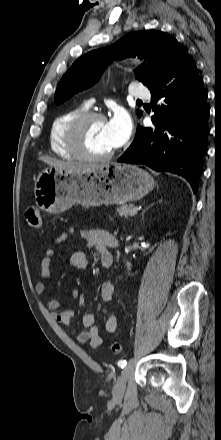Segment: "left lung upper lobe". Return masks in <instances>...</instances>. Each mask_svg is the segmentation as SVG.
Returning <instances> with one entry per match:
<instances>
[{"label": "left lung upper lobe", "mask_w": 221, "mask_h": 440, "mask_svg": "<svg viewBox=\"0 0 221 440\" xmlns=\"http://www.w3.org/2000/svg\"><path fill=\"white\" fill-rule=\"evenodd\" d=\"M183 49L176 39L161 31L129 33L113 45L81 56L63 75L55 92L57 105L93 85L112 60L137 56L145 61L135 69V77L147 87L166 70ZM139 116L142 112L137 110Z\"/></svg>", "instance_id": "1"}]
</instances>
